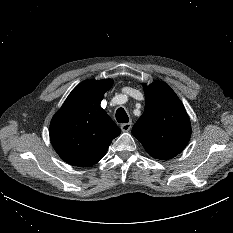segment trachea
<instances>
[{"label": "trachea", "instance_id": "1", "mask_svg": "<svg viewBox=\"0 0 233 233\" xmlns=\"http://www.w3.org/2000/svg\"><path fill=\"white\" fill-rule=\"evenodd\" d=\"M116 119L119 123H128L129 117L123 108H118L116 111Z\"/></svg>", "mask_w": 233, "mask_h": 233}]
</instances>
